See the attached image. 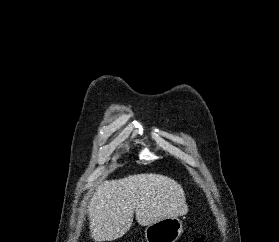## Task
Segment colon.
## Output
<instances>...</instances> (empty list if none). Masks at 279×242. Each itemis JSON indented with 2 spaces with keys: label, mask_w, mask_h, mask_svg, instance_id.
Wrapping results in <instances>:
<instances>
[{
  "label": "colon",
  "mask_w": 279,
  "mask_h": 242,
  "mask_svg": "<svg viewBox=\"0 0 279 242\" xmlns=\"http://www.w3.org/2000/svg\"><path fill=\"white\" fill-rule=\"evenodd\" d=\"M192 242H207V237L202 235L200 237L195 238Z\"/></svg>",
  "instance_id": "5ec220e1"
}]
</instances>
